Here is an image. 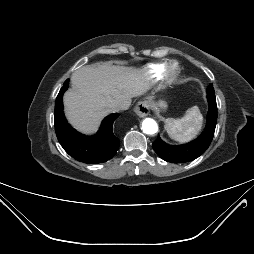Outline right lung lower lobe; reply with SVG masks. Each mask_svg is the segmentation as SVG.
I'll return each instance as SVG.
<instances>
[{"instance_id": "1", "label": "right lung lower lobe", "mask_w": 254, "mask_h": 254, "mask_svg": "<svg viewBox=\"0 0 254 254\" xmlns=\"http://www.w3.org/2000/svg\"><path fill=\"white\" fill-rule=\"evenodd\" d=\"M66 80L56 98L54 120L58 141L74 159L84 163H103L112 158L118 148L119 139L113 133V123L119 114L114 113L102 121L99 132L94 136H85L71 127L63 112V93L67 90Z\"/></svg>"}]
</instances>
